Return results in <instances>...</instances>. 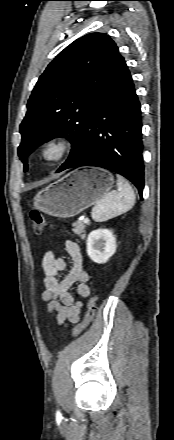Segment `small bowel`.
<instances>
[{
	"label": "small bowel",
	"mask_w": 174,
	"mask_h": 440,
	"mask_svg": "<svg viewBox=\"0 0 174 440\" xmlns=\"http://www.w3.org/2000/svg\"><path fill=\"white\" fill-rule=\"evenodd\" d=\"M64 246L72 260V266L64 277H61V273L68 266L65 258L47 251L42 259L43 281L46 288L42 293V300L46 304L47 311L55 314L57 323L62 326L79 322L83 300L90 294L89 274L84 269L80 247L71 240H66ZM75 284L79 300H76L70 292Z\"/></svg>",
	"instance_id": "obj_1"
}]
</instances>
